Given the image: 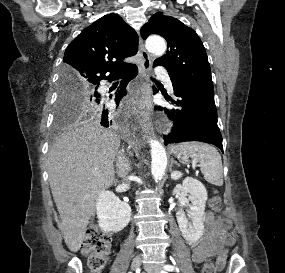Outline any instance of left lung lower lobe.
<instances>
[{"label": "left lung lower lobe", "instance_id": "1", "mask_svg": "<svg viewBox=\"0 0 285 273\" xmlns=\"http://www.w3.org/2000/svg\"><path fill=\"white\" fill-rule=\"evenodd\" d=\"M173 89L179 99L172 104H176L178 108L169 110L155 107L156 110H164L174 121L172 133L164 135V144L202 141L214 144L223 152L222 135L217 125L214 91L186 88L175 84ZM169 100L171 101L170 98Z\"/></svg>", "mask_w": 285, "mask_h": 273}]
</instances>
